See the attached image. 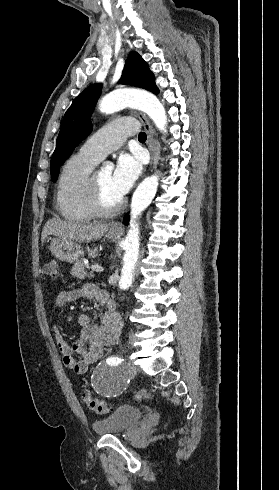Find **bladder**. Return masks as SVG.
<instances>
[{"label":"bladder","instance_id":"obj_1","mask_svg":"<svg viewBox=\"0 0 279 490\" xmlns=\"http://www.w3.org/2000/svg\"><path fill=\"white\" fill-rule=\"evenodd\" d=\"M143 415L138 406L119 405L115 413L94 421L92 430L99 436L119 435L136 426Z\"/></svg>","mask_w":279,"mask_h":490}]
</instances>
